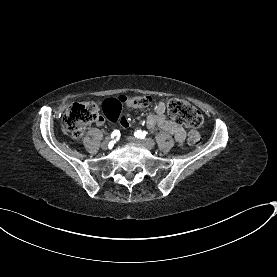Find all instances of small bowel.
<instances>
[{"label":"small bowel","instance_id":"obj_1","mask_svg":"<svg viewBox=\"0 0 277 277\" xmlns=\"http://www.w3.org/2000/svg\"><path fill=\"white\" fill-rule=\"evenodd\" d=\"M98 124L101 125L102 121H99ZM128 124V119H126L125 125L123 126H128ZM146 124L149 129L158 127L168 133H171L174 135L179 144H182L185 140V130L169 118L166 112V104L162 101L155 104L153 112L147 117Z\"/></svg>","mask_w":277,"mask_h":277}]
</instances>
